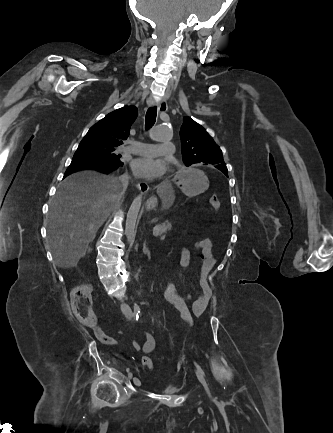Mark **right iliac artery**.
<instances>
[{
  "label": "right iliac artery",
  "instance_id": "82829eb1",
  "mask_svg": "<svg viewBox=\"0 0 333 433\" xmlns=\"http://www.w3.org/2000/svg\"><path fill=\"white\" fill-rule=\"evenodd\" d=\"M136 318L138 319V315L136 316ZM126 371L129 372V368H127Z\"/></svg>",
  "mask_w": 333,
  "mask_h": 433
}]
</instances>
